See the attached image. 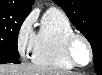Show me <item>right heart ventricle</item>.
Returning <instances> with one entry per match:
<instances>
[{"instance_id":"right-heart-ventricle-1","label":"right heart ventricle","mask_w":102,"mask_h":75,"mask_svg":"<svg viewBox=\"0 0 102 75\" xmlns=\"http://www.w3.org/2000/svg\"><path fill=\"white\" fill-rule=\"evenodd\" d=\"M74 33L75 29L69 17L58 8H49L34 38L32 60L55 68H72L73 63L65 51V42Z\"/></svg>"}]
</instances>
